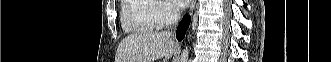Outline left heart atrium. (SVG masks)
Instances as JSON below:
<instances>
[{"instance_id": "1", "label": "left heart atrium", "mask_w": 331, "mask_h": 62, "mask_svg": "<svg viewBox=\"0 0 331 62\" xmlns=\"http://www.w3.org/2000/svg\"><path fill=\"white\" fill-rule=\"evenodd\" d=\"M171 3L178 9H182L185 8L188 3L189 0H171Z\"/></svg>"}]
</instances>
